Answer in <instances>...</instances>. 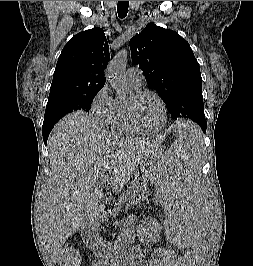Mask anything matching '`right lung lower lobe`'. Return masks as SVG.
I'll return each instance as SVG.
<instances>
[{
  "mask_svg": "<svg viewBox=\"0 0 253 266\" xmlns=\"http://www.w3.org/2000/svg\"><path fill=\"white\" fill-rule=\"evenodd\" d=\"M54 125L55 123H48L42 126V135H43V140L45 144L47 143L48 136Z\"/></svg>",
  "mask_w": 253,
  "mask_h": 266,
  "instance_id": "obj_1",
  "label": "right lung lower lobe"
}]
</instances>
